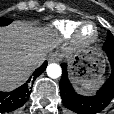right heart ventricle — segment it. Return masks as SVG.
I'll return each mask as SVG.
<instances>
[{
    "label": "right heart ventricle",
    "instance_id": "obj_1",
    "mask_svg": "<svg viewBox=\"0 0 114 114\" xmlns=\"http://www.w3.org/2000/svg\"><path fill=\"white\" fill-rule=\"evenodd\" d=\"M79 23L72 20H57L52 26L61 36L68 38L77 30Z\"/></svg>",
    "mask_w": 114,
    "mask_h": 114
}]
</instances>
